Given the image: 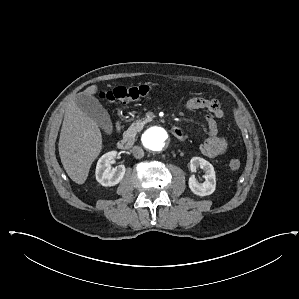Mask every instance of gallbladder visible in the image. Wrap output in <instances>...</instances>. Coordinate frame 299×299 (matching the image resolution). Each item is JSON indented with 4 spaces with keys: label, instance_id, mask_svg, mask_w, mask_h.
I'll use <instances>...</instances> for the list:
<instances>
[{
    "label": "gallbladder",
    "instance_id": "bac80fb5",
    "mask_svg": "<svg viewBox=\"0 0 299 299\" xmlns=\"http://www.w3.org/2000/svg\"><path fill=\"white\" fill-rule=\"evenodd\" d=\"M77 106L91 119H93L105 132L112 128V122L107 110L97 98L92 95L79 93L74 98Z\"/></svg>",
    "mask_w": 299,
    "mask_h": 299
}]
</instances>
